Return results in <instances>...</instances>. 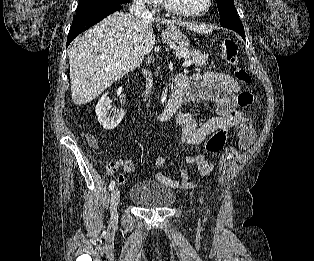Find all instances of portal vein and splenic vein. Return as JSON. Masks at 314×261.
I'll list each match as a JSON object with an SVG mask.
<instances>
[{"label":"portal vein and splenic vein","instance_id":"obj_1","mask_svg":"<svg viewBox=\"0 0 314 261\" xmlns=\"http://www.w3.org/2000/svg\"><path fill=\"white\" fill-rule=\"evenodd\" d=\"M191 64H192V61L190 59L186 58V61L183 63V67H189ZM117 66H118V64L111 65V66H108L107 68H105V70H111Z\"/></svg>","mask_w":314,"mask_h":261}]
</instances>
